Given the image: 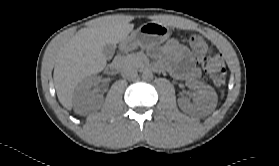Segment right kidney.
Masks as SVG:
<instances>
[{
  "mask_svg": "<svg viewBox=\"0 0 279 166\" xmlns=\"http://www.w3.org/2000/svg\"><path fill=\"white\" fill-rule=\"evenodd\" d=\"M99 82H100L99 78L85 80L81 84L80 90L76 92V102L78 104L83 105L84 108H87L91 102L100 99L101 97H97L93 95L91 91V87L95 86Z\"/></svg>",
  "mask_w": 279,
  "mask_h": 166,
  "instance_id": "1",
  "label": "right kidney"
}]
</instances>
